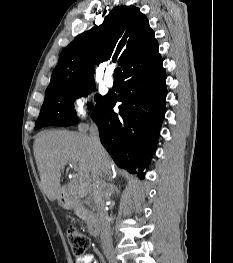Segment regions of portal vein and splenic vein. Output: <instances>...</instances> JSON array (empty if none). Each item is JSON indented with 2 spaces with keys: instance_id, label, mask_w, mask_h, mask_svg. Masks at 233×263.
<instances>
[{
  "instance_id": "portal-vein-and-splenic-vein-1",
  "label": "portal vein and splenic vein",
  "mask_w": 233,
  "mask_h": 263,
  "mask_svg": "<svg viewBox=\"0 0 233 263\" xmlns=\"http://www.w3.org/2000/svg\"><path fill=\"white\" fill-rule=\"evenodd\" d=\"M71 166H74V168H76V167H77L75 164H71Z\"/></svg>"
}]
</instances>
